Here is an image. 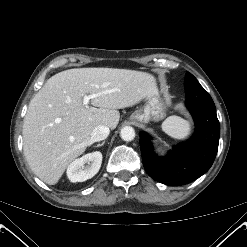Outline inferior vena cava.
<instances>
[{"label": "inferior vena cava", "instance_id": "obj_1", "mask_svg": "<svg viewBox=\"0 0 247 247\" xmlns=\"http://www.w3.org/2000/svg\"><path fill=\"white\" fill-rule=\"evenodd\" d=\"M109 133H110L109 127L105 125H99L95 127L94 130L92 131L91 141L97 142V141L104 140L108 137Z\"/></svg>", "mask_w": 247, "mask_h": 247}]
</instances>
